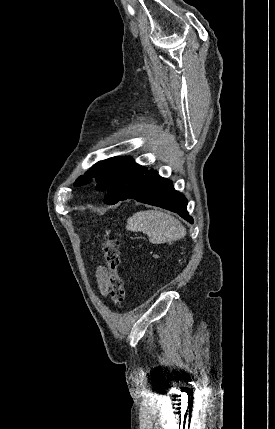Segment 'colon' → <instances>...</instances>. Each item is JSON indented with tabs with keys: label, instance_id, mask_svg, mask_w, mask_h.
Wrapping results in <instances>:
<instances>
[{
	"label": "colon",
	"instance_id": "1",
	"mask_svg": "<svg viewBox=\"0 0 275 429\" xmlns=\"http://www.w3.org/2000/svg\"><path fill=\"white\" fill-rule=\"evenodd\" d=\"M102 250L104 264L108 269L107 286L110 297L116 307H121L125 300V288L118 271L120 265L119 241L116 238L105 237Z\"/></svg>",
	"mask_w": 275,
	"mask_h": 429
}]
</instances>
